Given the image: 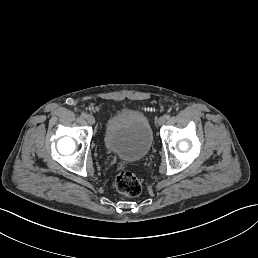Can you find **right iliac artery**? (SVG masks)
Wrapping results in <instances>:
<instances>
[{
  "instance_id": "82829eb1",
  "label": "right iliac artery",
  "mask_w": 258,
  "mask_h": 258,
  "mask_svg": "<svg viewBox=\"0 0 258 258\" xmlns=\"http://www.w3.org/2000/svg\"><path fill=\"white\" fill-rule=\"evenodd\" d=\"M81 116H82L83 118H86V117H87V114L84 112V113L81 114Z\"/></svg>"
}]
</instances>
